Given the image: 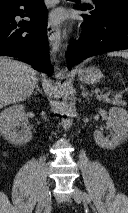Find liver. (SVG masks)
Returning a JSON list of instances; mask_svg holds the SVG:
<instances>
[{"mask_svg": "<svg viewBox=\"0 0 128 213\" xmlns=\"http://www.w3.org/2000/svg\"><path fill=\"white\" fill-rule=\"evenodd\" d=\"M36 74L28 64L0 57V109L28 98L36 87Z\"/></svg>", "mask_w": 128, "mask_h": 213, "instance_id": "6515ba94", "label": "liver"}]
</instances>
